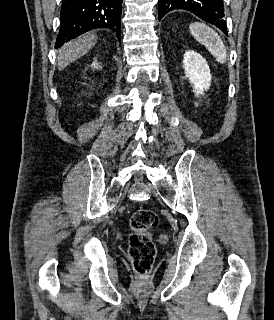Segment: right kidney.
Returning a JSON list of instances; mask_svg holds the SVG:
<instances>
[{"label":"right kidney","instance_id":"right-kidney-1","mask_svg":"<svg viewBox=\"0 0 274 320\" xmlns=\"http://www.w3.org/2000/svg\"><path fill=\"white\" fill-rule=\"evenodd\" d=\"M92 68H99L97 62H93V64H91Z\"/></svg>","mask_w":274,"mask_h":320}]
</instances>
